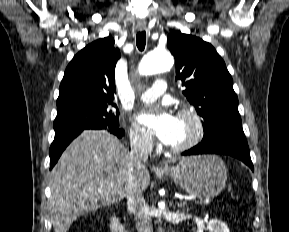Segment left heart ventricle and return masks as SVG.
<instances>
[{
  "label": "left heart ventricle",
  "instance_id": "obj_1",
  "mask_svg": "<svg viewBox=\"0 0 289 232\" xmlns=\"http://www.w3.org/2000/svg\"><path fill=\"white\" fill-rule=\"evenodd\" d=\"M195 127L189 118L177 117V134L172 146H179L186 143L194 134Z\"/></svg>",
  "mask_w": 289,
  "mask_h": 232
}]
</instances>
